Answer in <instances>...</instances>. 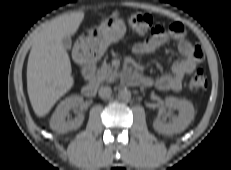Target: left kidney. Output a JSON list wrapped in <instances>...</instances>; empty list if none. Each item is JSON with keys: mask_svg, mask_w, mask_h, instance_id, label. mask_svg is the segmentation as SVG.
<instances>
[{"mask_svg": "<svg viewBox=\"0 0 231 170\" xmlns=\"http://www.w3.org/2000/svg\"><path fill=\"white\" fill-rule=\"evenodd\" d=\"M165 104L168 107L175 108L179 111L178 116L173 117L172 121L165 123L160 119L153 122L154 129L162 134L172 135L184 131L190 122L194 119L195 110L187 100L178 99L175 97H166Z\"/></svg>", "mask_w": 231, "mask_h": 170, "instance_id": "5707ae66", "label": "left kidney"}]
</instances>
